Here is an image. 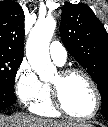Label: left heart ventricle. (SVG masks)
Here are the masks:
<instances>
[{
    "label": "left heart ventricle",
    "mask_w": 108,
    "mask_h": 127,
    "mask_svg": "<svg viewBox=\"0 0 108 127\" xmlns=\"http://www.w3.org/2000/svg\"><path fill=\"white\" fill-rule=\"evenodd\" d=\"M58 81V74L52 82ZM62 99L65 107L73 114L85 116L90 114L95 106L93 90L86 79L73 74L63 81L61 85Z\"/></svg>",
    "instance_id": "obj_1"
}]
</instances>
